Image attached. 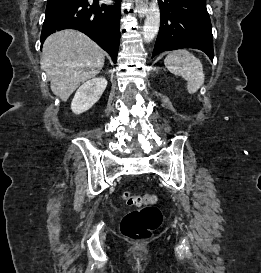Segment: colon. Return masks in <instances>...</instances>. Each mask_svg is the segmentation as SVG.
<instances>
[{"instance_id": "5ec220e1", "label": "colon", "mask_w": 261, "mask_h": 273, "mask_svg": "<svg viewBox=\"0 0 261 273\" xmlns=\"http://www.w3.org/2000/svg\"><path fill=\"white\" fill-rule=\"evenodd\" d=\"M123 199L129 206H138L140 209L134 210L123 217L121 221L122 235L131 240L148 238L162 222V213L155 206L156 195H136L125 191Z\"/></svg>"}]
</instances>
